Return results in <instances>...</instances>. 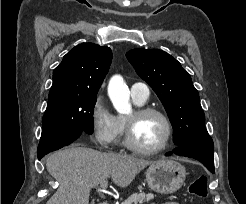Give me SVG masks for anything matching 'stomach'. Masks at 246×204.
<instances>
[{
	"mask_svg": "<svg viewBox=\"0 0 246 204\" xmlns=\"http://www.w3.org/2000/svg\"><path fill=\"white\" fill-rule=\"evenodd\" d=\"M185 177V167L174 160L157 161L146 171L149 188L161 194H171L179 190Z\"/></svg>",
	"mask_w": 246,
	"mask_h": 204,
	"instance_id": "1",
	"label": "stomach"
}]
</instances>
